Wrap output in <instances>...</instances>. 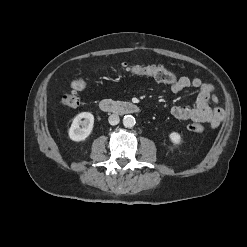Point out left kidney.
<instances>
[{"label": "left kidney", "instance_id": "left-kidney-1", "mask_svg": "<svg viewBox=\"0 0 247 247\" xmlns=\"http://www.w3.org/2000/svg\"><path fill=\"white\" fill-rule=\"evenodd\" d=\"M169 138H170L171 142L175 145H179L182 141L180 134L177 132L170 133Z\"/></svg>", "mask_w": 247, "mask_h": 247}]
</instances>
